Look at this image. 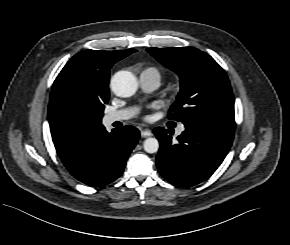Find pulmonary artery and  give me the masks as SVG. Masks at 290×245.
<instances>
[{"mask_svg": "<svg viewBox=\"0 0 290 245\" xmlns=\"http://www.w3.org/2000/svg\"><path fill=\"white\" fill-rule=\"evenodd\" d=\"M139 82L144 91L152 92L160 85V75L156 70L143 71L140 74ZM135 113V109L132 108L111 111L105 114L104 122L105 124L110 125L117 121H125L132 118ZM183 130L184 126H181L178 129V133H181Z\"/></svg>", "mask_w": 290, "mask_h": 245, "instance_id": "obj_1", "label": "pulmonary artery"}]
</instances>
